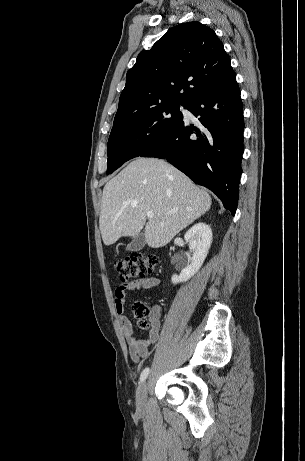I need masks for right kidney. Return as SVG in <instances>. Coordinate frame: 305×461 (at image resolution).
Segmentation results:
<instances>
[{"label": "right kidney", "mask_w": 305, "mask_h": 461, "mask_svg": "<svg viewBox=\"0 0 305 461\" xmlns=\"http://www.w3.org/2000/svg\"><path fill=\"white\" fill-rule=\"evenodd\" d=\"M184 239L188 242L193 256L190 265L183 268L179 275L172 276L173 284L186 282L199 271L212 243V230L209 225L200 222L186 232Z\"/></svg>", "instance_id": "right-kidney-1"}]
</instances>
